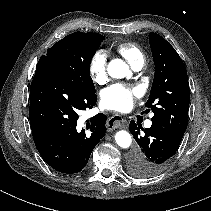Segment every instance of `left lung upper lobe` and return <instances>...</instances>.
<instances>
[{
    "label": "left lung upper lobe",
    "mask_w": 211,
    "mask_h": 211,
    "mask_svg": "<svg viewBox=\"0 0 211 211\" xmlns=\"http://www.w3.org/2000/svg\"><path fill=\"white\" fill-rule=\"evenodd\" d=\"M149 42L155 75L146 106L154 113L153 124L164 127L182 139L188 124L190 102L185 65L162 36L151 32Z\"/></svg>",
    "instance_id": "1"
}]
</instances>
